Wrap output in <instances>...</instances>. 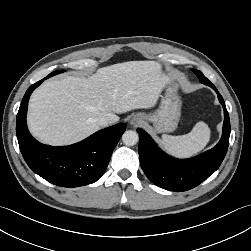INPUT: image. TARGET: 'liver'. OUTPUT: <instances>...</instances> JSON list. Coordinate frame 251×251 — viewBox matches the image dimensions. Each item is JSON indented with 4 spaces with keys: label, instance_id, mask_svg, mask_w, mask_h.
I'll return each mask as SVG.
<instances>
[{
    "label": "liver",
    "instance_id": "liver-1",
    "mask_svg": "<svg viewBox=\"0 0 251 251\" xmlns=\"http://www.w3.org/2000/svg\"><path fill=\"white\" fill-rule=\"evenodd\" d=\"M170 79L158 62L128 61L99 68L88 78L46 81L30 98V132L54 146L78 142L99 130L101 116L115 123L116 114L153 107Z\"/></svg>",
    "mask_w": 251,
    "mask_h": 251
}]
</instances>
